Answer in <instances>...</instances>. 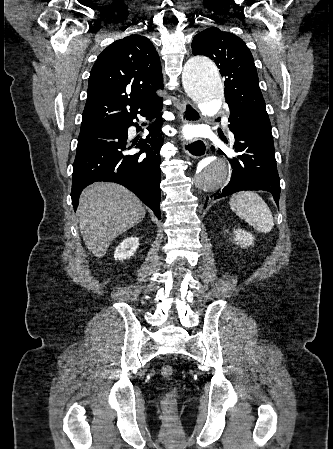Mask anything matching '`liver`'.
<instances>
[{
    "label": "liver",
    "mask_w": 333,
    "mask_h": 449,
    "mask_svg": "<svg viewBox=\"0 0 333 449\" xmlns=\"http://www.w3.org/2000/svg\"><path fill=\"white\" fill-rule=\"evenodd\" d=\"M141 201L116 183H94L83 190L77 215L85 245L101 258L118 235L145 217Z\"/></svg>",
    "instance_id": "obj_1"
}]
</instances>
